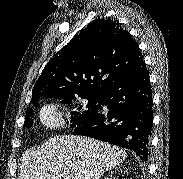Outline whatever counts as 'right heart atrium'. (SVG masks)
<instances>
[{
  "instance_id": "1",
  "label": "right heart atrium",
  "mask_w": 183,
  "mask_h": 179,
  "mask_svg": "<svg viewBox=\"0 0 183 179\" xmlns=\"http://www.w3.org/2000/svg\"><path fill=\"white\" fill-rule=\"evenodd\" d=\"M42 120L48 126H59L62 123L60 112L53 106H47L43 109Z\"/></svg>"
}]
</instances>
